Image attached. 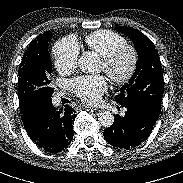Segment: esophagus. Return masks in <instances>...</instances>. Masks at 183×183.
I'll use <instances>...</instances> for the list:
<instances>
[{
	"label": "esophagus",
	"instance_id": "obj_1",
	"mask_svg": "<svg viewBox=\"0 0 183 183\" xmlns=\"http://www.w3.org/2000/svg\"><path fill=\"white\" fill-rule=\"evenodd\" d=\"M82 108H84V109H86V110H90V111H96V109L95 108H93V107H89V106H82Z\"/></svg>",
	"mask_w": 183,
	"mask_h": 183
}]
</instances>
